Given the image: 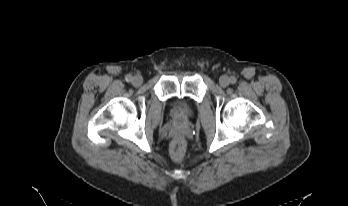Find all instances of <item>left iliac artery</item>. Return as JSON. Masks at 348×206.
Listing matches in <instances>:
<instances>
[{"label": "left iliac artery", "mask_w": 348, "mask_h": 206, "mask_svg": "<svg viewBox=\"0 0 348 206\" xmlns=\"http://www.w3.org/2000/svg\"><path fill=\"white\" fill-rule=\"evenodd\" d=\"M236 81H237V80H236L235 77H231V78H230V82H231L232 84L236 83Z\"/></svg>", "instance_id": "44dca946"}]
</instances>
